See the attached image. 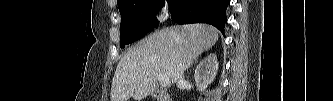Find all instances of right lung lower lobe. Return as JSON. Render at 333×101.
I'll list each match as a JSON object with an SVG mask.
<instances>
[{
    "label": "right lung lower lobe",
    "mask_w": 333,
    "mask_h": 101,
    "mask_svg": "<svg viewBox=\"0 0 333 101\" xmlns=\"http://www.w3.org/2000/svg\"><path fill=\"white\" fill-rule=\"evenodd\" d=\"M230 0H172L171 18L179 24L208 23L224 33Z\"/></svg>",
    "instance_id": "98d812e1"
}]
</instances>
